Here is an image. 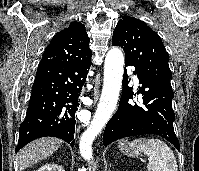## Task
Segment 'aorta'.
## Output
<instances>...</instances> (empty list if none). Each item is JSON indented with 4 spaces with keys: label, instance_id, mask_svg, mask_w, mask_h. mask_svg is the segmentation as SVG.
<instances>
[{
    "label": "aorta",
    "instance_id": "762f6f07",
    "mask_svg": "<svg viewBox=\"0 0 199 171\" xmlns=\"http://www.w3.org/2000/svg\"><path fill=\"white\" fill-rule=\"evenodd\" d=\"M124 56L119 48L108 51L104 66V83L97 110L87 130L82 134L79 149L85 160L92 159V142L110 119L120 93Z\"/></svg>",
    "mask_w": 199,
    "mask_h": 171
}]
</instances>
